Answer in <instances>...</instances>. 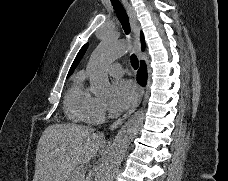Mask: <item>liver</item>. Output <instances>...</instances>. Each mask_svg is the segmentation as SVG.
<instances>
[{
	"mask_svg": "<svg viewBox=\"0 0 228 181\" xmlns=\"http://www.w3.org/2000/svg\"><path fill=\"white\" fill-rule=\"evenodd\" d=\"M83 125H51L39 139L33 181H67L78 165L89 163L104 137Z\"/></svg>",
	"mask_w": 228,
	"mask_h": 181,
	"instance_id": "obj_1",
	"label": "liver"
}]
</instances>
